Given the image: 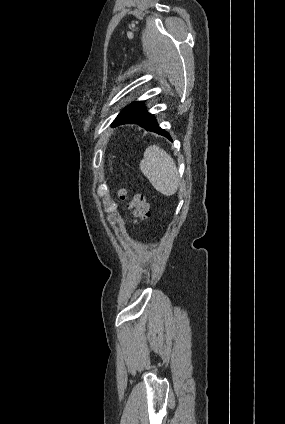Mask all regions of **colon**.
<instances>
[{"label": "colon", "instance_id": "obj_1", "mask_svg": "<svg viewBox=\"0 0 285 424\" xmlns=\"http://www.w3.org/2000/svg\"><path fill=\"white\" fill-rule=\"evenodd\" d=\"M120 199L126 202V207L130 211L135 221H141L149 217V203L143 194H135L129 198L125 190L119 192Z\"/></svg>", "mask_w": 285, "mask_h": 424}]
</instances>
